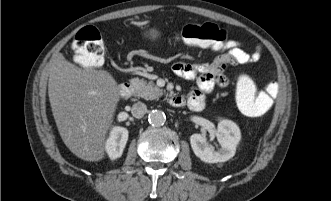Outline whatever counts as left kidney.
Wrapping results in <instances>:
<instances>
[{"label": "left kidney", "instance_id": "5707ae66", "mask_svg": "<svg viewBox=\"0 0 331 201\" xmlns=\"http://www.w3.org/2000/svg\"><path fill=\"white\" fill-rule=\"evenodd\" d=\"M216 136L220 144L218 150L209 144L206 136L197 133L191 135L192 150L203 162H226L235 155L241 139L239 127L231 120H221L217 126Z\"/></svg>", "mask_w": 331, "mask_h": 201}]
</instances>
